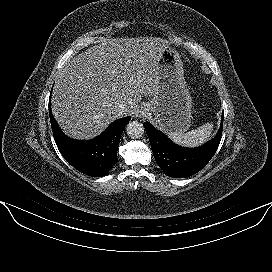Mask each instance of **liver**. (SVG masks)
Listing matches in <instances>:
<instances>
[{"mask_svg":"<svg viewBox=\"0 0 272 272\" xmlns=\"http://www.w3.org/2000/svg\"><path fill=\"white\" fill-rule=\"evenodd\" d=\"M168 41L159 37L108 38L69 60L58 74L52 112L65 134L92 139L142 97L157 90L159 60ZM127 111L119 115L118 104Z\"/></svg>","mask_w":272,"mask_h":272,"instance_id":"liver-1","label":"liver"}]
</instances>
